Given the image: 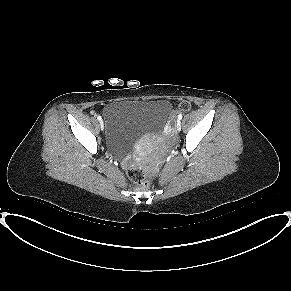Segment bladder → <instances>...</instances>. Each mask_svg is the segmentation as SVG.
Wrapping results in <instances>:
<instances>
[{
    "label": "bladder",
    "mask_w": 291,
    "mask_h": 291,
    "mask_svg": "<svg viewBox=\"0 0 291 291\" xmlns=\"http://www.w3.org/2000/svg\"><path fill=\"white\" fill-rule=\"evenodd\" d=\"M172 114L168 100H119L103 110V131L112 151L130 148L141 136L159 132Z\"/></svg>",
    "instance_id": "obj_1"
}]
</instances>
